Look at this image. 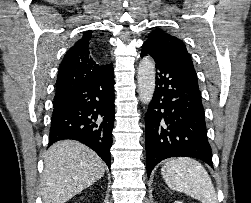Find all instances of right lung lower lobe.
<instances>
[{"instance_id":"1","label":"right lung lower lobe","mask_w":251,"mask_h":203,"mask_svg":"<svg viewBox=\"0 0 251 203\" xmlns=\"http://www.w3.org/2000/svg\"><path fill=\"white\" fill-rule=\"evenodd\" d=\"M113 66L66 95L54 99L49 144L73 139L93 149L111 166L115 117Z\"/></svg>"}]
</instances>
